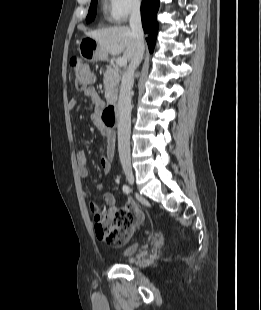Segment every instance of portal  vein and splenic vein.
<instances>
[{
	"instance_id": "1",
	"label": "portal vein and splenic vein",
	"mask_w": 261,
	"mask_h": 310,
	"mask_svg": "<svg viewBox=\"0 0 261 310\" xmlns=\"http://www.w3.org/2000/svg\"><path fill=\"white\" fill-rule=\"evenodd\" d=\"M116 64L119 66H125L127 65V60L123 57H120L116 60Z\"/></svg>"
}]
</instances>
